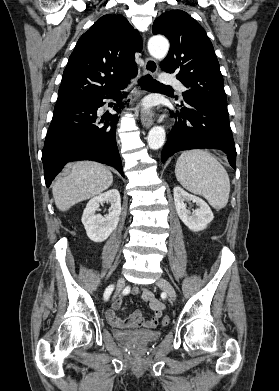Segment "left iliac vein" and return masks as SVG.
I'll list each match as a JSON object with an SVG mask.
<instances>
[{
	"label": "left iliac vein",
	"mask_w": 279,
	"mask_h": 391,
	"mask_svg": "<svg viewBox=\"0 0 279 391\" xmlns=\"http://www.w3.org/2000/svg\"><path fill=\"white\" fill-rule=\"evenodd\" d=\"M156 284L167 293L170 301L176 300L175 289L167 279L160 277L157 279Z\"/></svg>",
	"instance_id": "left-iliac-vein-1"
}]
</instances>
